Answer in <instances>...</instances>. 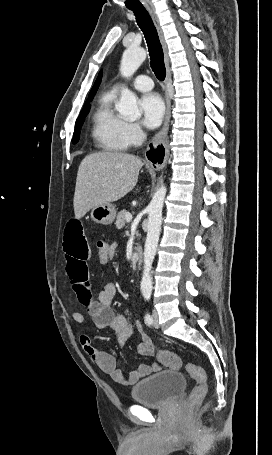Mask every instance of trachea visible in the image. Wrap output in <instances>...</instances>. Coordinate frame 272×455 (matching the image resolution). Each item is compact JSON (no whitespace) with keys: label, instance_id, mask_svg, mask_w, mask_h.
Returning <instances> with one entry per match:
<instances>
[{"label":"trachea","instance_id":"obj_1","mask_svg":"<svg viewBox=\"0 0 272 455\" xmlns=\"http://www.w3.org/2000/svg\"><path fill=\"white\" fill-rule=\"evenodd\" d=\"M133 11L136 21L140 29L142 30L150 55V65L155 76L163 81L166 77V68L164 64L163 49L158 37L156 27L148 13L143 7L130 8Z\"/></svg>","mask_w":272,"mask_h":455}]
</instances>
